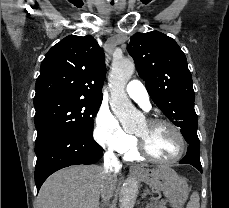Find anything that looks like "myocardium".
Listing matches in <instances>:
<instances>
[{"instance_id":"myocardium-1","label":"myocardium","mask_w":229,"mask_h":208,"mask_svg":"<svg viewBox=\"0 0 229 208\" xmlns=\"http://www.w3.org/2000/svg\"><path fill=\"white\" fill-rule=\"evenodd\" d=\"M146 123L150 125H166L171 127L174 130H170V135H174L175 138V143H177V147H184V150L182 151L181 154L178 156L171 158V160H158V157H151L150 153L147 152V144H146V139L145 137H142L140 135H137L138 139L140 142H137V153H144L148 158H150L152 161L157 162V163H162V164H171L180 161L188 152L190 148V141L187 137V135L184 133V131L175 123L165 120V119H160V118H150L146 121ZM180 133V134H179ZM184 139V140H183ZM184 141V142H183Z\"/></svg>"}]
</instances>
